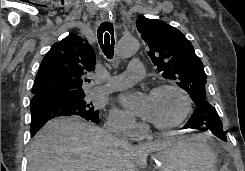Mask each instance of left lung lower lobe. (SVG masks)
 <instances>
[{"instance_id":"obj_1","label":"left lung lower lobe","mask_w":245,"mask_h":171,"mask_svg":"<svg viewBox=\"0 0 245 171\" xmlns=\"http://www.w3.org/2000/svg\"><path fill=\"white\" fill-rule=\"evenodd\" d=\"M188 128L201 131L210 130L221 140L227 141L220 117L216 109L208 101L202 102L196 106L195 112L183 126V129Z\"/></svg>"}]
</instances>
